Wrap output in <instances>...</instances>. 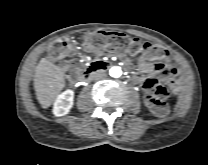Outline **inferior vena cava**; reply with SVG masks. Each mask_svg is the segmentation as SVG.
Here are the masks:
<instances>
[{"label":"inferior vena cava","mask_w":208,"mask_h":165,"mask_svg":"<svg viewBox=\"0 0 208 165\" xmlns=\"http://www.w3.org/2000/svg\"><path fill=\"white\" fill-rule=\"evenodd\" d=\"M106 77V74L104 72H96L95 74L92 75V79L95 81L102 80Z\"/></svg>","instance_id":"602c4592"}]
</instances>
